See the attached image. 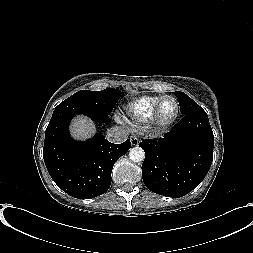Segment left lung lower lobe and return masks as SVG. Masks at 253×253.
<instances>
[{"mask_svg": "<svg viewBox=\"0 0 253 253\" xmlns=\"http://www.w3.org/2000/svg\"><path fill=\"white\" fill-rule=\"evenodd\" d=\"M142 177L154 193L179 198L195 189L213 160L214 136L206 112L184 115L164 138L139 143Z\"/></svg>", "mask_w": 253, "mask_h": 253, "instance_id": "obj_1", "label": "left lung lower lobe"}]
</instances>
